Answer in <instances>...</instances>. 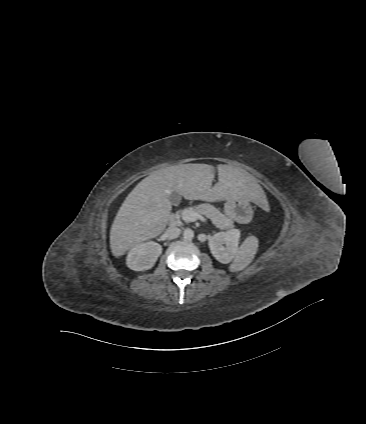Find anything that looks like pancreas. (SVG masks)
<instances>
[{"label": "pancreas", "mask_w": 366, "mask_h": 424, "mask_svg": "<svg viewBox=\"0 0 366 424\" xmlns=\"http://www.w3.org/2000/svg\"><path fill=\"white\" fill-rule=\"evenodd\" d=\"M187 209L196 211L200 215H204L211 219L212 223L221 230L234 228L233 220L222 214L213 205L205 203L195 207H189Z\"/></svg>", "instance_id": "obj_1"}]
</instances>
